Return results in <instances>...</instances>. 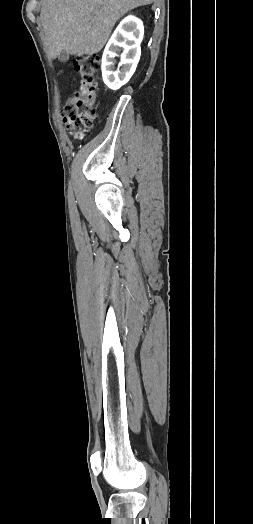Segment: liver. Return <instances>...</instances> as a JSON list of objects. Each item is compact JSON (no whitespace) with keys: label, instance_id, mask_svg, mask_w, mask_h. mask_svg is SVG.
Masks as SVG:
<instances>
[{"label":"liver","instance_id":"6515ba94","mask_svg":"<svg viewBox=\"0 0 253 524\" xmlns=\"http://www.w3.org/2000/svg\"><path fill=\"white\" fill-rule=\"evenodd\" d=\"M154 0H43L40 19L47 53L92 55L107 42L116 21Z\"/></svg>","mask_w":253,"mask_h":524}]
</instances>
